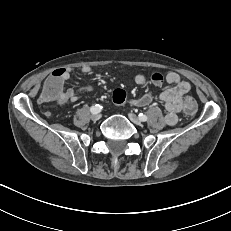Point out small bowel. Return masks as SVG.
<instances>
[{
    "instance_id": "obj_1",
    "label": "small bowel",
    "mask_w": 231,
    "mask_h": 231,
    "mask_svg": "<svg viewBox=\"0 0 231 231\" xmlns=\"http://www.w3.org/2000/svg\"><path fill=\"white\" fill-rule=\"evenodd\" d=\"M60 69L63 70L64 77L61 82H59L60 94L56 99L59 104L62 105L67 102H76L79 100L81 93L91 92L94 90L93 85H87L77 89L69 88L64 90V86L72 73V68L65 67ZM79 70L83 74H89L92 71L90 66H82L79 68ZM134 81L137 85L144 86L147 83V78L143 74H137L134 77ZM163 81H166V83L169 84V87L160 93L159 99L167 112L165 117L166 123L170 126H173L177 123L178 113L183 112L180 106V97L183 94L189 95L191 86L189 82L182 80L180 75L176 72H168L165 77L158 73L152 75V83L155 87L161 86ZM152 100L153 94L148 92L138 98L130 100V104L137 107H145L149 105Z\"/></svg>"
}]
</instances>
